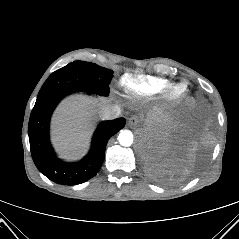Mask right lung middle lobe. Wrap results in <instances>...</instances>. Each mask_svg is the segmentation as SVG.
<instances>
[{
  "label": "right lung middle lobe",
  "mask_w": 239,
  "mask_h": 239,
  "mask_svg": "<svg viewBox=\"0 0 239 239\" xmlns=\"http://www.w3.org/2000/svg\"><path fill=\"white\" fill-rule=\"evenodd\" d=\"M113 71L97 64L75 61L53 72L37 98L56 92H88L107 96Z\"/></svg>",
  "instance_id": "dd1d6c3e"
}]
</instances>
